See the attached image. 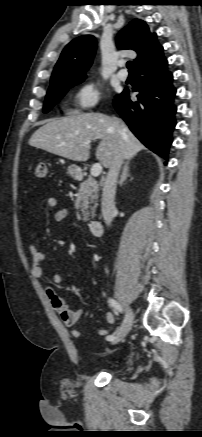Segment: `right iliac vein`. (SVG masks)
I'll return each instance as SVG.
<instances>
[{
    "mask_svg": "<svg viewBox=\"0 0 202 437\" xmlns=\"http://www.w3.org/2000/svg\"><path fill=\"white\" fill-rule=\"evenodd\" d=\"M133 319L134 314L131 309H128L120 329L115 334V339L112 341L113 344H116L125 338L132 327Z\"/></svg>",
    "mask_w": 202,
    "mask_h": 437,
    "instance_id": "63e3f726",
    "label": "right iliac vein"
}]
</instances>
